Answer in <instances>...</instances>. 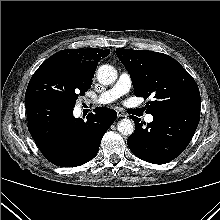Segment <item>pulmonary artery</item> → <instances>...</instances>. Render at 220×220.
Returning <instances> with one entry per match:
<instances>
[{
    "mask_svg": "<svg viewBox=\"0 0 220 220\" xmlns=\"http://www.w3.org/2000/svg\"><path fill=\"white\" fill-rule=\"evenodd\" d=\"M131 88V78L129 74L122 73L117 82L108 90L101 93L94 101L95 104H108L111 103L121 96L127 94L130 91ZM146 122H152L153 116L152 115H146L145 116Z\"/></svg>",
    "mask_w": 220,
    "mask_h": 220,
    "instance_id": "pulmonary-artery-1",
    "label": "pulmonary artery"
}]
</instances>
